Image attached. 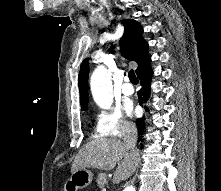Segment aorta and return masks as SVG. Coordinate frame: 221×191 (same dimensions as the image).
<instances>
[{
    "instance_id": "1",
    "label": "aorta",
    "mask_w": 221,
    "mask_h": 191,
    "mask_svg": "<svg viewBox=\"0 0 221 191\" xmlns=\"http://www.w3.org/2000/svg\"><path fill=\"white\" fill-rule=\"evenodd\" d=\"M92 96L101 108L107 109L113 103L112 86L109 73L104 66H98L90 81ZM124 191H136L132 185L127 186Z\"/></svg>"
}]
</instances>
